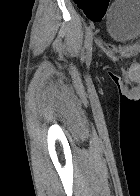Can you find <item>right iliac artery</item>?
Segmentation results:
<instances>
[{"mask_svg": "<svg viewBox=\"0 0 140 196\" xmlns=\"http://www.w3.org/2000/svg\"><path fill=\"white\" fill-rule=\"evenodd\" d=\"M92 39H93V31L89 27L86 32V39H85V48L87 50V58H90L91 56V50H92Z\"/></svg>", "mask_w": 140, "mask_h": 196, "instance_id": "82829eb1", "label": "right iliac artery"}]
</instances>
